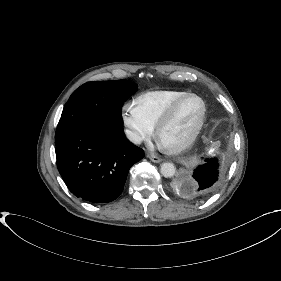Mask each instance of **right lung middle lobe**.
Wrapping results in <instances>:
<instances>
[{
  "label": "right lung middle lobe",
  "mask_w": 281,
  "mask_h": 281,
  "mask_svg": "<svg viewBox=\"0 0 281 281\" xmlns=\"http://www.w3.org/2000/svg\"><path fill=\"white\" fill-rule=\"evenodd\" d=\"M136 91L137 85L127 80L83 84L64 106L56 134L81 127H122V105Z\"/></svg>",
  "instance_id": "right-lung-middle-lobe-1"
}]
</instances>
